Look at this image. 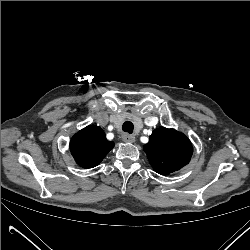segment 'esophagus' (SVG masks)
<instances>
[{
    "mask_svg": "<svg viewBox=\"0 0 250 250\" xmlns=\"http://www.w3.org/2000/svg\"><path fill=\"white\" fill-rule=\"evenodd\" d=\"M122 140L126 143H133L135 141V137L130 134H123Z\"/></svg>",
    "mask_w": 250,
    "mask_h": 250,
    "instance_id": "esophagus-1",
    "label": "esophagus"
}]
</instances>
